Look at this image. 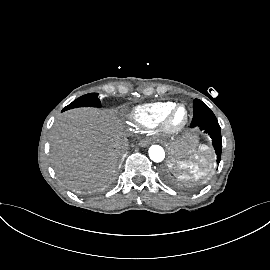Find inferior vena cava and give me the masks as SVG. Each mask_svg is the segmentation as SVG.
Masks as SVG:
<instances>
[{
  "label": "inferior vena cava",
  "mask_w": 270,
  "mask_h": 270,
  "mask_svg": "<svg viewBox=\"0 0 270 270\" xmlns=\"http://www.w3.org/2000/svg\"><path fill=\"white\" fill-rule=\"evenodd\" d=\"M128 146H129L128 139L126 137H123L120 141L116 142L115 151L118 154H122L127 151Z\"/></svg>",
  "instance_id": "obj_1"
}]
</instances>
